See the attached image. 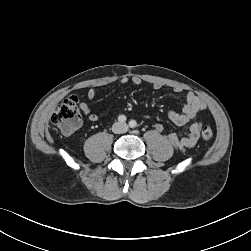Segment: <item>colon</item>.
I'll return each instance as SVG.
<instances>
[{"mask_svg": "<svg viewBox=\"0 0 251 251\" xmlns=\"http://www.w3.org/2000/svg\"><path fill=\"white\" fill-rule=\"evenodd\" d=\"M78 102L79 98L77 96H70L65 99L53 113L52 124L67 134L76 131L81 125ZM201 137L204 141H211L213 139L212 129L209 127L203 128Z\"/></svg>", "mask_w": 251, "mask_h": 251, "instance_id": "obj_1", "label": "colon"}]
</instances>
